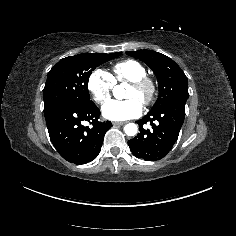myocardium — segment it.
<instances>
[{
	"instance_id": "obj_1",
	"label": "myocardium",
	"mask_w": 236,
	"mask_h": 236,
	"mask_svg": "<svg viewBox=\"0 0 236 236\" xmlns=\"http://www.w3.org/2000/svg\"><path fill=\"white\" fill-rule=\"evenodd\" d=\"M129 86L139 89L143 92L144 97L142 104L144 106H148L153 101L156 93V86L153 79L143 75L129 81Z\"/></svg>"
}]
</instances>
